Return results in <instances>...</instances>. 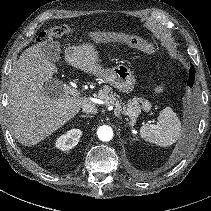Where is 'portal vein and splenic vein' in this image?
I'll list each match as a JSON object with an SVG mask.
<instances>
[{"instance_id":"obj_1","label":"portal vein and splenic vein","mask_w":211,"mask_h":211,"mask_svg":"<svg viewBox=\"0 0 211 211\" xmlns=\"http://www.w3.org/2000/svg\"><path fill=\"white\" fill-rule=\"evenodd\" d=\"M65 92L67 94H70V95L74 96V97H79L80 96V92L77 89H75V88H70V87H66L65 86Z\"/></svg>"}]
</instances>
